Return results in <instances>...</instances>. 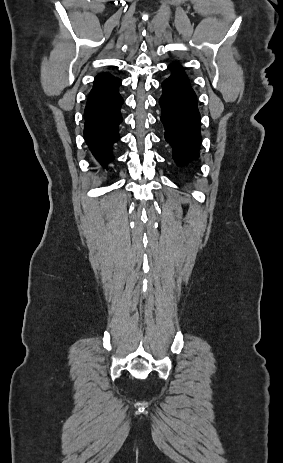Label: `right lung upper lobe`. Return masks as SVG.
Instances as JSON below:
<instances>
[{"mask_svg": "<svg viewBox=\"0 0 283 463\" xmlns=\"http://www.w3.org/2000/svg\"><path fill=\"white\" fill-rule=\"evenodd\" d=\"M111 77L113 76L109 73L99 74L95 77L94 84L107 80Z\"/></svg>", "mask_w": 283, "mask_h": 463, "instance_id": "right-lung-upper-lobe-1", "label": "right lung upper lobe"}]
</instances>
